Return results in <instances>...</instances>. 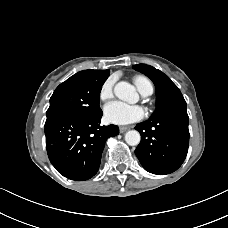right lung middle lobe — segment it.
<instances>
[{
    "label": "right lung middle lobe",
    "mask_w": 228,
    "mask_h": 228,
    "mask_svg": "<svg viewBox=\"0 0 228 228\" xmlns=\"http://www.w3.org/2000/svg\"><path fill=\"white\" fill-rule=\"evenodd\" d=\"M109 74V70L90 75L76 73L60 84L50 98L47 120L58 116L93 117L101 113L100 91Z\"/></svg>",
    "instance_id": "obj_1"
}]
</instances>
